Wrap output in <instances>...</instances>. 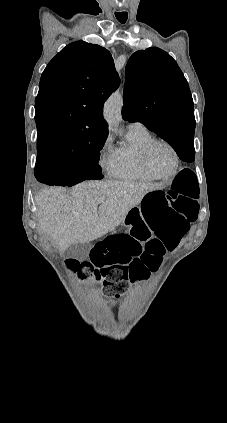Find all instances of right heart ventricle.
Instances as JSON below:
<instances>
[{"label":"right heart ventricle","mask_w":227,"mask_h":423,"mask_svg":"<svg viewBox=\"0 0 227 423\" xmlns=\"http://www.w3.org/2000/svg\"><path fill=\"white\" fill-rule=\"evenodd\" d=\"M151 138V134L143 126L128 128L126 142L113 151L110 175L122 180L149 181L151 178L139 165L138 152Z\"/></svg>","instance_id":"obj_1"}]
</instances>
